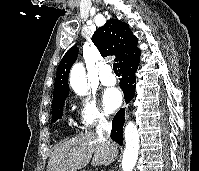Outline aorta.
Masks as SVG:
<instances>
[{"instance_id": "obj_1", "label": "aorta", "mask_w": 199, "mask_h": 171, "mask_svg": "<svg viewBox=\"0 0 199 171\" xmlns=\"http://www.w3.org/2000/svg\"><path fill=\"white\" fill-rule=\"evenodd\" d=\"M70 85L78 95H86L88 86L86 81V72L82 63H76L70 72ZM126 146L122 159V170L133 171L138 151H139V134L137 126L129 122L125 127Z\"/></svg>"}]
</instances>
